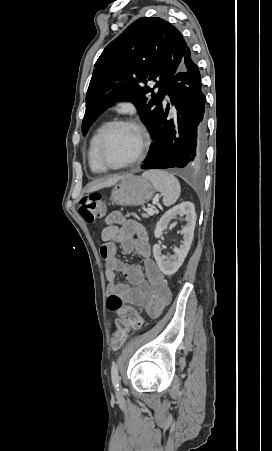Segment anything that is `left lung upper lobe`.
<instances>
[{
	"instance_id": "obj_1",
	"label": "left lung upper lobe",
	"mask_w": 272,
	"mask_h": 451,
	"mask_svg": "<svg viewBox=\"0 0 272 451\" xmlns=\"http://www.w3.org/2000/svg\"><path fill=\"white\" fill-rule=\"evenodd\" d=\"M187 47L179 30L161 18L142 17L129 25L95 63L86 94L83 135L111 103L128 100L135 104L142 122L151 126L153 137L161 101ZM150 81L156 82L154 88L144 86ZM150 92L152 98L146 97Z\"/></svg>"
}]
</instances>
